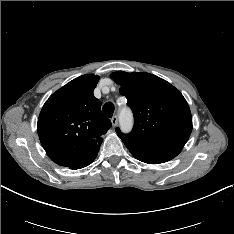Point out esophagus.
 <instances>
[{
  "instance_id": "esophagus-1",
  "label": "esophagus",
  "mask_w": 234,
  "mask_h": 234,
  "mask_svg": "<svg viewBox=\"0 0 234 234\" xmlns=\"http://www.w3.org/2000/svg\"><path fill=\"white\" fill-rule=\"evenodd\" d=\"M111 123L115 127L118 124V117L117 116H113L111 118Z\"/></svg>"
}]
</instances>
